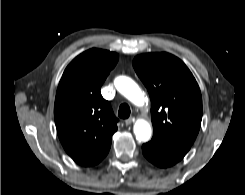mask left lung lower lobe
I'll list each match as a JSON object with an SVG mask.
<instances>
[{
    "label": "left lung lower lobe",
    "mask_w": 245,
    "mask_h": 195,
    "mask_svg": "<svg viewBox=\"0 0 245 195\" xmlns=\"http://www.w3.org/2000/svg\"><path fill=\"white\" fill-rule=\"evenodd\" d=\"M191 145L153 134L150 142L143 144L144 156L154 165L167 168L183 159Z\"/></svg>",
    "instance_id": "left-lung-lower-lobe-1"
}]
</instances>
